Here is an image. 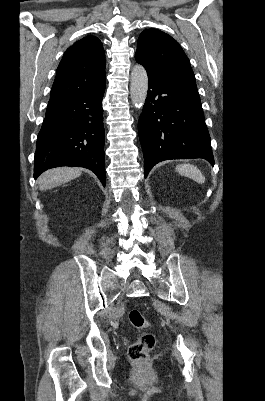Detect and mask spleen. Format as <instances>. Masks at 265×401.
<instances>
[{
	"instance_id": "spleen-1",
	"label": "spleen",
	"mask_w": 265,
	"mask_h": 401,
	"mask_svg": "<svg viewBox=\"0 0 265 401\" xmlns=\"http://www.w3.org/2000/svg\"><path fill=\"white\" fill-rule=\"evenodd\" d=\"M176 170L180 172V174H183V176L193 178V180H196L199 184H203L206 180L204 174H202L201 170H199L197 166H194V164H177Z\"/></svg>"
}]
</instances>
